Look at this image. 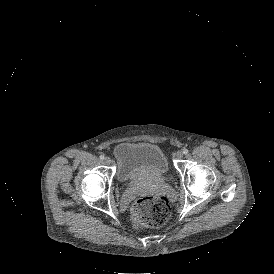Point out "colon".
Wrapping results in <instances>:
<instances>
[{
  "instance_id": "5ec220e1",
  "label": "colon",
  "mask_w": 274,
  "mask_h": 274,
  "mask_svg": "<svg viewBox=\"0 0 274 274\" xmlns=\"http://www.w3.org/2000/svg\"><path fill=\"white\" fill-rule=\"evenodd\" d=\"M132 225L135 229L161 227L171 216L169 203L165 197H142L130 206Z\"/></svg>"
}]
</instances>
